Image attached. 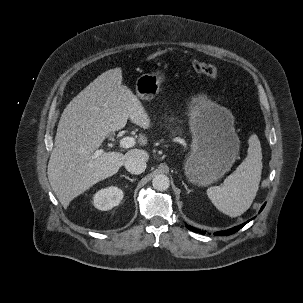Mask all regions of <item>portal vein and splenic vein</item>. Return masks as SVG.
Instances as JSON below:
<instances>
[{"mask_svg":"<svg viewBox=\"0 0 303 303\" xmlns=\"http://www.w3.org/2000/svg\"><path fill=\"white\" fill-rule=\"evenodd\" d=\"M136 144V141L133 137H124L122 139H120L119 141V145L121 148H130L133 147ZM102 150H97L95 151V153L93 154V158H97L98 156H100L102 154Z\"/></svg>","mask_w":303,"mask_h":303,"instance_id":"obj_1","label":"portal vein and splenic vein"}]
</instances>
